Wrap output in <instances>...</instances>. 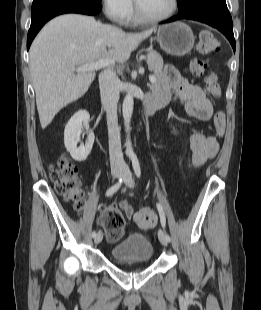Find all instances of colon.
<instances>
[{"label": "colon", "mask_w": 261, "mask_h": 310, "mask_svg": "<svg viewBox=\"0 0 261 310\" xmlns=\"http://www.w3.org/2000/svg\"><path fill=\"white\" fill-rule=\"evenodd\" d=\"M198 52L204 56L218 53L221 50L219 40L208 30H203L199 34L197 44ZM207 68V62L201 59H195L190 64V73L193 77L202 76ZM204 85L206 91L213 99L221 96V88L218 83L217 75L209 71L204 76ZM215 128V138H221L225 132V115L223 112H217L213 118ZM50 178L54 183L56 192L71 202L77 210L84 206V191L82 182L78 175L75 164L65 157L59 158L50 168ZM100 219L101 225L106 231L109 241L116 242L123 235L125 220L119 211V205L113 202L107 208H103ZM134 221L140 228L153 227L157 222L155 213L144 208L134 214Z\"/></svg>", "instance_id": "5ec220e1"}]
</instances>
